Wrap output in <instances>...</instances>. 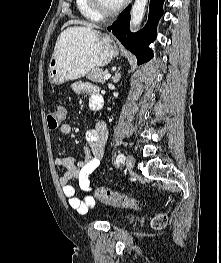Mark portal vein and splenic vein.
Returning a JSON list of instances; mask_svg holds the SVG:
<instances>
[{"instance_id": "18ae733b", "label": "portal vein and splenic vein", "mask_w": 221, "mask_h": 263, "mask_svg": "<svg viewBox=\"0 0 221 263\" xmlns=\"http://www.w3.org/2000/svg\"><path fill=\"white\" fill-rule=\"evenodd\" d=\"M111 77V74L110 73H107L103 78L105 79V80H107V79H109Z\"/></svg>"}]
</instances>
